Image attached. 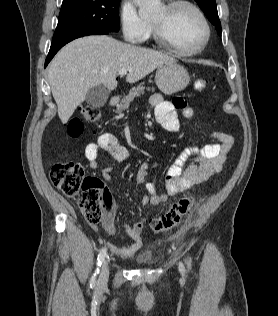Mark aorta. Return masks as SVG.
Segmentation results:
<instances>
[{
    "label": "aorta",
    "instance_id": "aorta-1",
    "mask_svg": "<svg viewBox=\"0 0 278 316\" xmlns=\"http://www.w3.org/2000/svg\"><path fill=\"white\" fill-rule=\"evenodd\" d=\"M143 18L156 14L160 9V0H134Z\"/></svg>",
    "mask_w": 278,
    "mask_h": 316
}]
</instances>
